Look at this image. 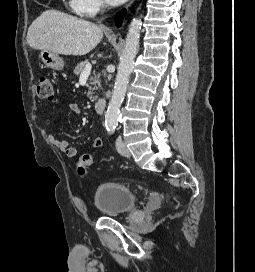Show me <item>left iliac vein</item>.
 <instances>
[{"label": "left iliac vein", "mask_w": 255, "mask_h": 272, "mask_svg": "<svg viewBox=\"0 0 255 272\" xmlns=\"http://www.w3.org/2000/svg\"><path fill=\"white\" fill-rule=\"evenodd\" d=\"M116 149H117L118 153L121 154L122 156H125V157L130 156V152L127 149V147L125 146V144L121 138L116 139Z\"/></svg>", "instance_id": "1"}]
</instances>
